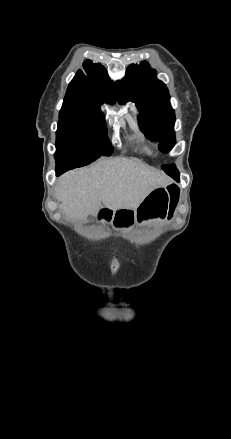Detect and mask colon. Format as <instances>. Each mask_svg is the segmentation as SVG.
<instances>
[{
    "label": "colon",
    "instance_id": "colon-1",
    "mask_svg": "<svg viewBox=\"0 0 231 439\" xmlns=\"http://www.w3.org/2000/svg\"><path fill=\"white\" fill-rule=\"evenodd\" d=\"M168 193L172 200H177L179 195V189L175 185H169L168 186Z\"/></svg>",
    "mask_w": 231,
    "mask_h": 439
}]
</instances>
